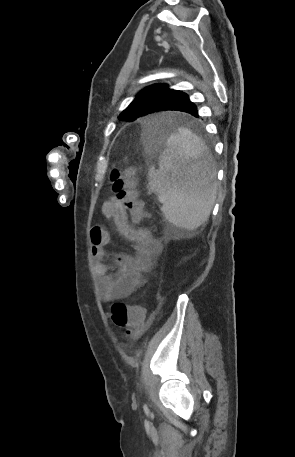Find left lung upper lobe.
<instances>
[{
	"label": "left lung upper lobe",
	"mask_w": 295,
	"mask_h": 457,
	"mask_svg": "<svg viewBox=\"0 0 295 457\" xmlns=\"http://www.w3.org/2000/svg\"><path fill=\"white\" fill-rule=\"evenodd\" d=\"M180 91L172 90L167 84H153L140 91L131 104L119 115V119L134 121L150 114L164 99Z\"/></svg>",
	"instance_id": "1"
}]
</instances>
